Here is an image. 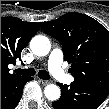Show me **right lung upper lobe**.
<instances>
[{
    "instance_id": "obj_1",
    "label": "right lung upper lobe",
    "mask_w": 109,
    "mask_h": 109,
    "mask_svg": "<svg viewBox=\"0 0 109 109\" xmlns=\"http://www.w3.org/2000/svg\"><path fill=\"white\" fill-rule=\"evenodd\" d=\"M39 30L36 22H24L16 17H1V85L19 75L9 73L21 51Z\"/></svg>"
}]
</instances>
